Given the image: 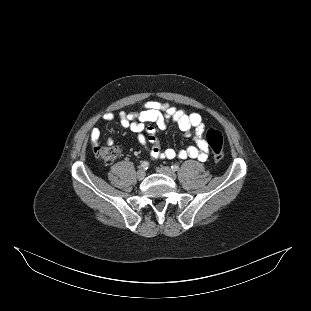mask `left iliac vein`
<instances>
[{"label":"left iliac vein","instance_id":"obj_1","mask_svg":"<svg viewBox=\"0 0 311 311\" xmlns=\"http://www.w3.org/2000/svg\"><path fill=\"white\" fill-rule=\"evenodd\" d=\"M157 172L162 173L170 177L173 180H175L177 177L175 172L170 167H167V166H162V167L157 168Z\"/></svg>","mask_w":311,"mask_h":311}]
</instances>
